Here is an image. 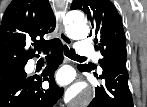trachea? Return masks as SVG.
<instances>
[{
    "label": "trachea",
    "mask_w": 147,
    "mask_h": 107,
    "mask_svg": "<svg viewBox=\"0 0 147 107\" xmlns=\"http://www.w3.org/2000/svg\"><path fill=\"white\" fill-rule=\"evenodd\" d=\"M64 54L69 57V58H77V59H85L86 57L80 56L78 54L75 53V51H73L72 49L69 50V48L64 45Z\"/></svg>",
    "instance_id": "trachea-1"
}]
</instances>
